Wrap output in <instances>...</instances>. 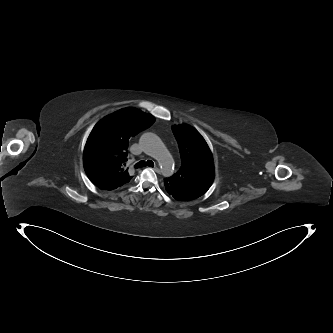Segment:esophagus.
Here are the masks:
<instances>
[{
    "label": "esophagus",
    "instance_id": "1",
    "mask_svg": "<svg viewBox=\"0 0 333 333\" xmlns=\"http://www.w3.org/2000/svg\"><path fill=\"white\" fill-rule=\"evenodd\" d=\"M153 170H154L156 173H160V172H161V170H160L159 167H154Z\"/></svg>",
    "mask_w": 333,
    "mask_h": 333
}]
</instances>
